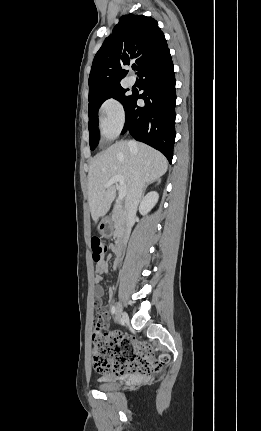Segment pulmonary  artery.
<instances>
[{
    "label": "pulmonary artery",
    "mask_w": 261,
    "mask_h": 431,
    "mask_svg": "<svg viewBox=\"0 0 261 431\" xmlns=\"http://www.w3.org/2000/svg\"><path fill=\"white\" fill-rule=\"evenodd\" d=\"M127 82H128V84H129L130 86H132V85H134V84H135L136 80H135V78H134V77L130 76V77L128 78Z\"/></svg>",
    "instance_id": "1"
}]
</instances>
